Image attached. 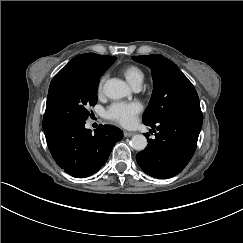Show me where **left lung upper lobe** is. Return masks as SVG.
<instances>
[{
  "label": "left lung upper lobe",
  "instance_id": "1",
  "mask_svg": "<svg viewBox=\"0 0 243 243\" xmlns=\"http://www.w3.org/2000/svg\"><path fill=\"white\" fill-rule=\"evenodd\" d=\"M132 58L150 67L154 81L153 94L143 114L145 125L156 124L180 110L201 112L194 86L176 64L159 54Z\"/></svg>",
  "mask_w": 243,
  "mask_h": 243
}]
</instances>
